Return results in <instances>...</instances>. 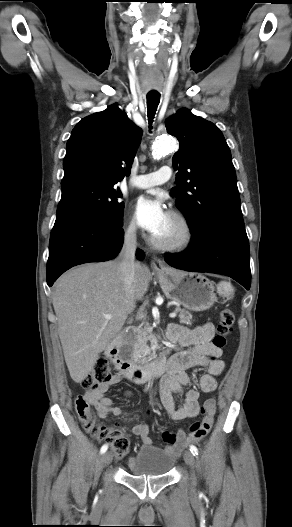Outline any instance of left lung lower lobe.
Wrapping results in <instances>:
<instances>
[{
    "mask_svg": "<svg viewBox=\"0 0 292 527\" xmlns=\"http://www.w3.org/2000/svg\"><path fill=\"white\" fill-rule=\"evenodd\" d=\"M249 242L244 225L223 224L195 234L189 247L178 254H165L172 267L229 276L247 290L251 284Z\"/></svg>",
    "mask_w": 292,
    "mask_h": 527,
    "instance_id": "left-lung-lower-lobe-1",
    "label": "left lung lower lobe"
}]
</instances>
